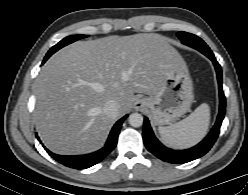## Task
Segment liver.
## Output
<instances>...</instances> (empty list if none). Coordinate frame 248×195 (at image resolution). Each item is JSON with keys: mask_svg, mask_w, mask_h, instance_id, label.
<instances>
[{"mask_svg": "<svg viewBox=\"0 0 248 195\" xmlns=\"http://www.w3.org/2000/svg\"><path fill=\"white\" fill-rule=\"evenodd\" d=\"M184 61L158 34L109 36L77 41L56 52L36 80L34 118L45 146L61 155L85 154L103 146L134 93L155 94L171 68ZM116 100L119 114L103 107Z\"/></svg>", "mask_w": 248, "mask_h": 195, "instance_id": "obj_1", "label": "liver"}]
</instances>
